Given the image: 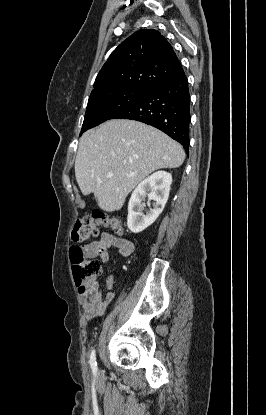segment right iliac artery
<instances>
[{"mask_svg": "<svg viewBox=\"0 0 266 415\" xmlns=\"http://www.w3.org/2000/svg\"><path fill=\"white\" fill-rule=\"evenodd\" d=\"M92 372L96 375L97 373V363H96V352L95 350H92L89 360Z\"/></svg>", "mask_w": 266, "mask_h": 415, "instance_id": "82829eb1", "label": "right iliac artery"}]
</instances>
